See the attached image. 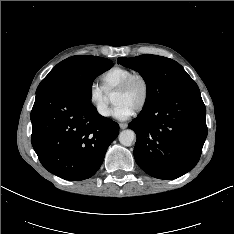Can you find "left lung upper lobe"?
I'll return each instance as SVG.
<instances>
[{"label":"left lung upper lobe","instance_id":"left-lung-upper-lobe-1","mask_svg":"<svg viewBox=\"0 0 234 234\" xmlns=\"http://www.w3.org/2000/svg\"><path fill=\"white\" fill-rule=\"evenodd\" d=\"M117 62L138 71L146 82L147 97L142 111L155 107L169 95L195 83L176 61L157 55L118 58Z\"/></svg>","mask_w":234,"mask_h":234}]
</instances>
